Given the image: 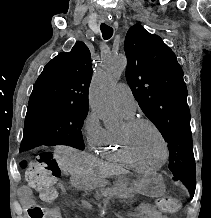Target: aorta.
Listing matches in <instances>:
<instances>
[{"label": "aorta", "instance_id": "aorta-1", "mask_svg": "<svg viewBox=\"0 0 211 218\" xmlns=\"http://www.w3.org/2000/svg\"><path fill=\"white\" fill-rule=\"evenodd\" d=\"M126 65L127 60L124 55L107 56L92 78L89 90L90 107L110 129L120 126V118L116 112L112 95Z\"/></svg>", "mask_w": 211, "mask_h": 218}]
</instances>
